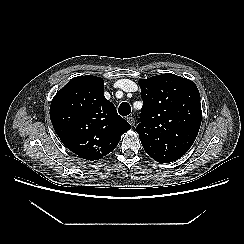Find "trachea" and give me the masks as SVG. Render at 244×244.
<instances>
[{
	"instance_id": "3493384b",
	"label": "trachea",
	"mask_w": 244,
	"mask_h": 244,
	"mask_svg": "<svg viewBox=\"0 0 244 244\" xmlns=\"http://www.w3.org/2000/svg\"><path fill=\"white\" fill-rule=\"evenodd\" d=\"M118 112L121 116H127L131 113V107L127 102H123L120 104Z\"/></svg>"
}]
</instances>
